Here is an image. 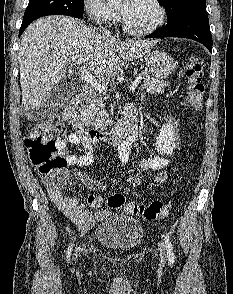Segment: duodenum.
<instances>
[{"mask_svg":"<svg viewBox=\"0 0 233 294\" xmlns=\"http://www.w3.org/2000/svg\"><path fill=\"white\" fill-rule=\"evenodd\" d=\"M63 115L77 132L84 134L91 141H100L117 146L130 144L138 136L137 114L132 107L126 108L122 121L111 130L87 129L75 103L69 104Z\"/></svg>","mask_w":233,"mask_h":294,"instance_id":"duodenum-1","label":"duodenum"}]
</instances>
